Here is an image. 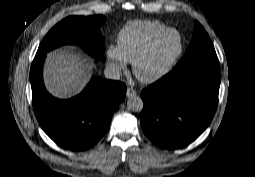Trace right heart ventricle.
Returning <instances> with one entry per match:
<instances>
[{
  "mask_svg": "<svg viewBox=\"0 0 255 177\" xmlns=\"http://www.w3.org/2000/svg\"><path fill=\"white\" fill-rule=\"evenodd\" d=\"M168 28L159 21L138 20L127 23L118 35L119 48L128 62H132L150 39Z\"/></svg>",
  "mask_w": 255,
  "mask_h": 177,
  "instance_id": "right-heart-ventricle-1",
  "label": "right heart ventricle"
}]
</instances>
